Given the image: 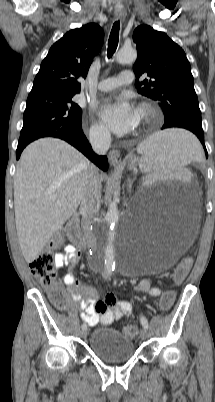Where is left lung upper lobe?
<instances>
[{
	"label": "left lung upper lobe",
	"mask_w": 215,
	"mask_h": 402,
	"mask_svg": "<svg viewBox=\"0 0 215 402\" xmlns=\"http://www.w3.org/2000/svg\"><path fill=\"white\" fill-rule=\"evenodd\" d=\"M138 57L133 66L137 91L159 102L165 122L184 120L201 124V111L190 63L180 46L148 25L134 30ZM141 75L149 79L139 82Z\"/></svg>",
	"instance_id": "left-lung-upper-lobe-1"
}]
</instances>
